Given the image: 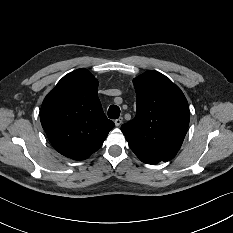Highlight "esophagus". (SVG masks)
I'll list each match as a JSON object with an SVG mask.
<instances>
[{
	"label": "esophagus",
	"mask_w": 233,
	"mask_h": 233,
	"mask_svg": "<svg viewBox=\"0 0 233 233\" xmlns=\"http://www.w3.org/2000/svg\"><path fill=\"white\" fill-rule=\"evenodd\" d=\"M123 121V117H119L118 119L115 120V125L120 126Z\"/></svg>",
	"instance_id": "34e87169"
}]
</instances>
